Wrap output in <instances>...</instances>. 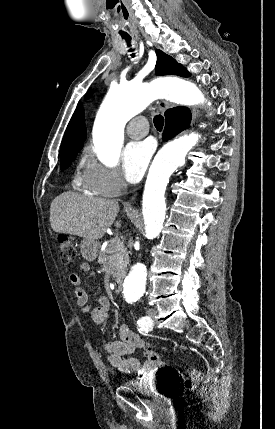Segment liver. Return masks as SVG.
I'll list each match as a JSON object with an SVG mask.
<instances>
[{
  "instance_id": "6515ba94",
  "label": "liver",
  "mask_w": 275,
  "mask_h": 429,
  "mask_svg": "<svg viewBox=\"0 0 275 429\" xmlns=\"http://www.w3.org/2000/svg\"><path fill=\"white\" fill-rule=\"evenodd\" d=\"M119 212L116 200L92 198L64 192L50 206L53 231L97 240L104 236ZM120 227V221L116 223Z\"/></svg>"
}]
</instances>
